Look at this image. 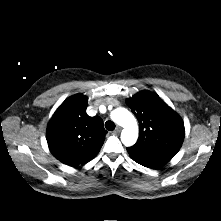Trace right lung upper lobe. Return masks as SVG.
Returning <instances> with one entry per match:
<instances>
[{
    "label": "right lung upper lobe",
    "mask_w": 221,
    "mask_h": 221,
    "mask_svg": "<svg viewBox=\"0 0 221 221\" xmlns=\"http://www.w3.org/2000/svg\"><path fill=\"white\" fill-rule=\"evenodd\" d=\"M87 97L77 94L56 110L47 128L51 153L62 163L77 167L93 159L104 143L103 120L86 113Z\"/></svg>",
    "instance_id": "1"
}]
</instances>
